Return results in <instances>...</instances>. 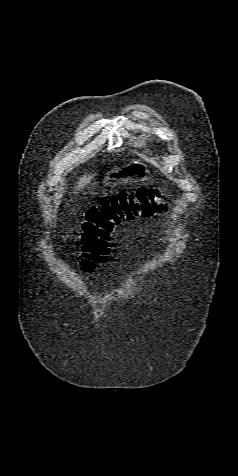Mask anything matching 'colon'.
I'll return each instance as SVG.
<instances>
[{
	"mask_svg": "<svg viewBox=\"0 0 238 476\" xmlns=\"http://www.w3.org/2000/svg\"><path fill=\"white\" fill-rule=\"evenodd\" d=\"M167 209L160 189L140 187L103 198L91 206L82 223V259L84 272H92L106 263L110 255V237L113 229L125 220L151 217Z\"/></svg>",
	"mask_w": 238,
	"mask_h": 476,
	"instance_id": "1",
	"label": "colon"
}]
</instances>
